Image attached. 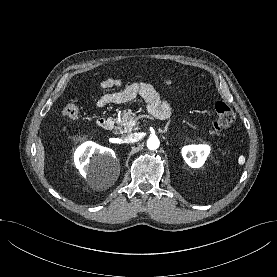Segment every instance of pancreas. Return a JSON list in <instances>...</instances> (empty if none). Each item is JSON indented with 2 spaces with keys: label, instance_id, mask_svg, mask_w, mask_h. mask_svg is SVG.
I'll return each instance as SVG.
<instances>
[{
  "label": "pancreas",
  "instance_id": "cf45deb5",
  "mask_svg": "<svg viewBox=\"0 0 277 277\" xmlns=\"http://www.w3.org/2000/svg\"><path fill=\"white\" fill-rule=\"evenodd\" d=\"M131 121H136V115L132 110H124L120 117L116 119L117 126L115 127L120 133H127L134 130V127L130 124Z\"/></svg>",
  "mask_w": 277,
  "mask_h": 277
}]
</instances>
